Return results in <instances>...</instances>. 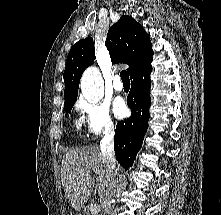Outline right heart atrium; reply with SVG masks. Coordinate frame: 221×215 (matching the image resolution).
<instances>
[{"label":"right heart atrium","mask_w":221,"mask_h":215,"mask_svg":"<svg viewBox=\"0 0 221 215\" xmlns=\"http://www.w3.org/2000/svg\"><path fill=\"white\" fill-rule=\"evenodd\" d=\"M76 109L83 117L89 136L96 137L114 130L110 109L105 103L81 97L76 103Z\"/></svg>","instance_id":"obj_1"}]
</instances>
